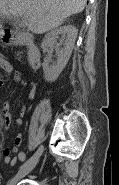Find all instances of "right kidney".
I'll use <instances>...</instances> for the list:
<instances>
[{
    "label": "right kidney",
    "instance_id": "obj_1",
    "mask_svg": "<svg viewBox=\"0 0 119 185\" xmlns=\"http://www.w3.org/2000/svg\"><path fill=\"white\" fill-rule=\"evenodd\" d=\"M78 30L72 25H65L56 28L47 33L43 39L41 47L43 49L53 48L57 53L55 61L46 60L42 64L44 71V79L48 82L55 81L62 70L65 68L71 56ZM58 35H62L63 39L57 43Z\"/></svg>",
    "mask_w": 119,
    "mask_h": 185
}]
</instances>
